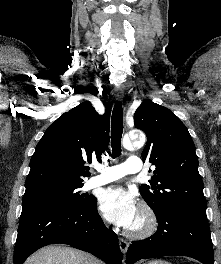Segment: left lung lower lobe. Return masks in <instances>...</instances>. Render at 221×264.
<instances>
[{
	"label": "left lung lower lobe",
	"mask_w": 221,
	"mask_h": 264,
	"mask_svg": "<svg viewBox=\"0 0 221 264\" xmlns=\"http://www.w3.org/2000/svg\"><path fill=\"white\" fill-rule=\"evenodd\" d=\"M155 215L157 232L147 239L131 243L126 264L161 256H188L203 264H213V244L206 210L173 208Z\"/></svg>",
	"instance_id": "1"
}]
</instances>
